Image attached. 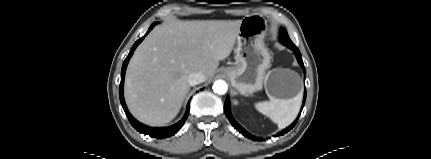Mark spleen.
<instances>
[{
  "instance_id": "3e777b00",
  "label": "spleen",
  "mask_w": 431,
  "mask_h": 159,
  "mask_svg": "<svg viewBox=\"0 0 431 159\" xmlns=\"http://www.w3.org/2000/svg\"><path fill=\"white\" fill-rule=\"evenodd\" d=\"M302 96L301 91L297 96L288 100L270 97V101L256 103L255 108L276 123L279 129H283L289 126L297 117Z\"/></svg>"
}]
</instances>
